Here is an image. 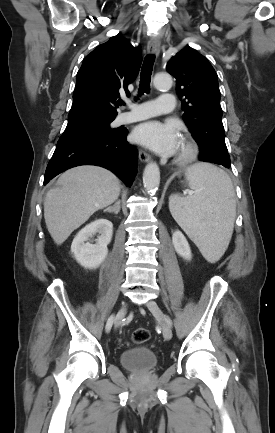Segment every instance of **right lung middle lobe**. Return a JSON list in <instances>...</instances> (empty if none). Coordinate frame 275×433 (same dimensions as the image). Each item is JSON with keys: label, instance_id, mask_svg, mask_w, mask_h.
I'll list each match as a JSON object with an SVG mask.
<instances>
[{"label": "right lung middle lobe", "instance_id": "obj_1", "mask_svg": "<svg viewBox=\"0 0 275 433\" xmlns=\"http://www.w3.org/2000/svg\"><path fill=\"white\" fill-rule=\"evenodd\" d=\"M116 116L86 115L68 119L67 127L63 135L88 133L94 135H112L118 132L111 129L110 123Z\"/></svg>", "mask_w": 275, "mask_h": 433}]
</instances>
